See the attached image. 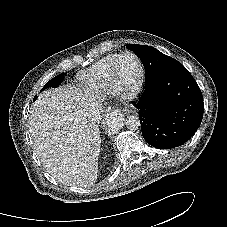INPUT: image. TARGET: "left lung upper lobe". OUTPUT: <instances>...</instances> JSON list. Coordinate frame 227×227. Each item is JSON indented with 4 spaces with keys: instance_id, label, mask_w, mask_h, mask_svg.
<instances>
[{
    "instance_id": "left-lung-upper-lobe-1",
    "label": "left lung upper lobe",
    "mask_w": 227,
    "mask_h": 227,
    "mask_svg": "<svg viewBox=\"0 0 227 227\" xmlns=\"http://www.w3.org/2000/svg\"><path fill=\"white\" fill-rule=\"evenodd\" d=\"M126 47L132 50L142 60L146 73L145 83L156 79L166 72L174 71L184 67L177 60L161 53L151 46L127 44ZM146 50L154 54L155 57L152 59V61L147 60V57L144 54Z\"/></svg>"
}]
</instances>
